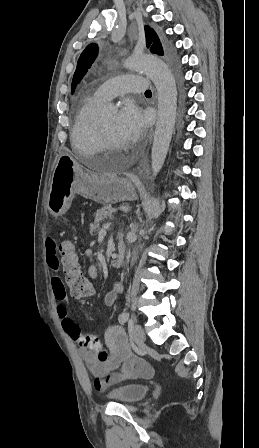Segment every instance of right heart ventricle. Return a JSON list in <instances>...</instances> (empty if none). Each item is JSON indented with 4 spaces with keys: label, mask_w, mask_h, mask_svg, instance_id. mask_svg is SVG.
I'll return each instance as SVG.
<instances>
[{
    "label": "right heart ventricle",
    "mask_w": 259,
    "mask_h": 448,
    "mask_svg": "<svg viewBox=\"0 0 259 448\" xmlns=\"http://www.w3.org/2000/svg\"><path fill=\"white\" fill-rule=\"evenodd\" d=\"M103 102L96 91H92L86 94V100L80 108H77L71 130L72 144L77 151L95 153L102 149L98 130L99 118L95 114V109Z\"/></svg>",
    "instance_id": "e07e8e85"
}]
</instances>
